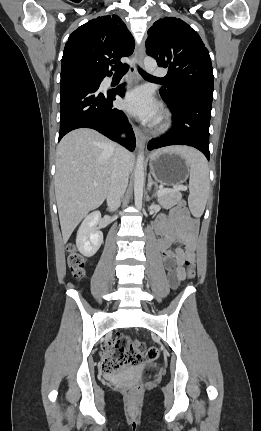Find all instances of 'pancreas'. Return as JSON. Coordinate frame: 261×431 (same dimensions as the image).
Returning a JSON list of instances; mask_svg holds the SVG:
<instances>
[{
  "instance_id": "pancreas-1",
  "label": "pancreas",
  "mask_w": 261,
  "mask_h": 431,
  "mask_svg": "<svg viewBox=\"0 0 261 431\" xmlns=\"http://www.w3.org/2000/svg\"><path fill=\"white\" fill-rule=\"evenodd\" d=\"M182 199V194L177 189H169L168 192L158 195V202L164 208H171L179 203Z\"/></svg>"
}]
</instances>
